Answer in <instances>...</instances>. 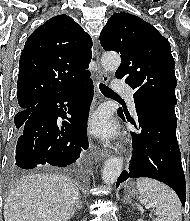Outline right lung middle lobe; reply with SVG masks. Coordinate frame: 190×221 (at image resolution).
Here are the masks:
<instances>
[{"mask_svg": "<svg viewBox=\"0 0 190 221\" xmlns=\"http://www.w3.org/2000/svg\"><path fill=\"white\" fill-rule=\"evenodd\" d=\"M31 110L18 112L14 118L16 128H21L29 116Z\"/></svg>", "mask_w": 190, "mask_h": 221, "instance_id": "1", "label": "right lung middle lobe"}]
</instances>
